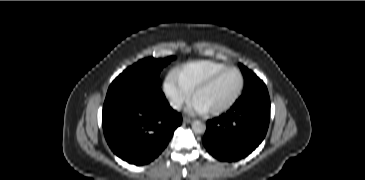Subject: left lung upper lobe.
Masks as SVG:
<instances>
[{"instance_id":"5c2ea615","label":"left lung upper lobe","mask_w":365,"mask_h":180,"mask_svg":"<svg viewBox=\"0 0 365 180\" xmlns=\"http://www.w3.org/2000/svg\"><path fill=\"white\" fill-rule=\"evenodd\" d=\"M239 67L243 73L244 79H245V86H244V92H247L249 90H252L254 88L264 86L262 80H260L251 70L247 69L242 64H239Z\"/></svg>"}]
</instances>
